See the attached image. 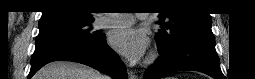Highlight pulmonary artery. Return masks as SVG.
I'll return each mask as SVG.
<instances>
[{
    "mask_svg": "<svg viewBox=\"0 0 255 79\" xmlns=\"http://www.w3.org/2000/svg\"><path fill=\"white\" fill-rule=\"evenodd\" d=\"M149 14H136V15H129V14H111L109 16H101L96 25L98 28H105V27H114V26H129L131 25L136 19H144L148 17Z\"/></svg>",
    "mask_w": 255,
    "mask_h": 79,
    "instance_id": "1",
    "label": "pulmonary artery"
}]
</instances>
